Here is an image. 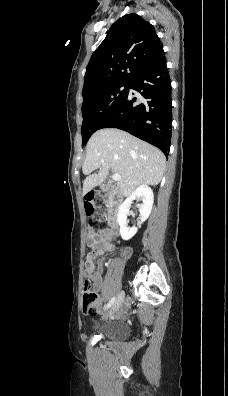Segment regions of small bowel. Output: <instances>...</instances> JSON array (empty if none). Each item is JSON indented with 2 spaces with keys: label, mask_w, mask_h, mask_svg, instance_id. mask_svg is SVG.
<instances>
[{
  "label": "small bowel",
  "mask_w": 228,
  "mask_h": 396,
  "mask_svg": "<svg viewBox=\"0 0 228 396\" xmlns=\"http://www.w3.org/2000/svg\"><path fill=\"white\" fill-rule=\"evenodd\" d=\"M115 236L116 232L113 229L107 231L102 230L97 234L96 241L88 239L87 242L89 252L87 253L85 261V275L93 279L97 291H101L103 288V269L101 266L97 270L95 269L94 259L111 250L112 240Z\"/></svg>",
  "instance_id": "obj_1"
}]
</instances>
